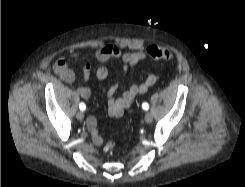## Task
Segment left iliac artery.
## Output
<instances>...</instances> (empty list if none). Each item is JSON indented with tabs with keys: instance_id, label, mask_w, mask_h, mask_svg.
I'll return each mask as SVG.
<instances>
[{
	"instance_id": "obj_1",
	"label": "left iliac artery",
	"mask_w": 245,
	"mask_h": 187,
	"mask_svg": "<svg viewBox=\"0 0 245 187\" xmlns=\"http://www.w3.org/2000/svg\"><path fill=\"white\" fill-rule=\"evenodd\" d=\"M142 108H143L144 110H148V109H149V105H148L147 103H143V104H142Z\"/></svg>"
}]
</instances>
